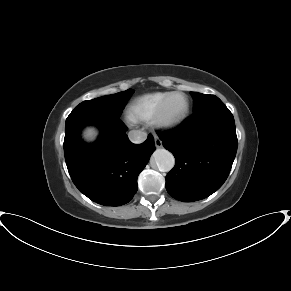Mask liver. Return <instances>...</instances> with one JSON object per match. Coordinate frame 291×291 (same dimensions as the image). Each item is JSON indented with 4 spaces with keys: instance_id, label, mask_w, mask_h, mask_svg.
Segmentation results:
<instances>
[{
    "instance_id": "1",
    "label": "liver",
    "mask_w": 291,
    "mask_h": 291,
    "mask_svg": "<svg viewBox=\"0 0 291 291\" xmlns=\"http://www.w3.org/2000/svg\"><path fill=\"white\" fill-rule=\"evenodd\" d=\"M96 135H97V131L94 128H87L84 131L83 137L87 141H91V140H94L95 139Z\"/></svg>"
}]
</instances>
